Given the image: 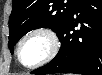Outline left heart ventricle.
Returning <instances> with one entry per match:
<instances>
[{"mask_svg":"<svg viewBox=\"0 0 102 75\" xmlns=\"http://www.w3.org/2000/svg\"><path fill=\"white\" fill-rule=\"evenodd\" d=\"M50 49V42L45 35H33L22 47V60L29 64L32 60L44 58Z\"/></svg>","mask_w":102,"mask_h":75,"instance_id":"1","label":"left heart ventricle"}]
</instances>
